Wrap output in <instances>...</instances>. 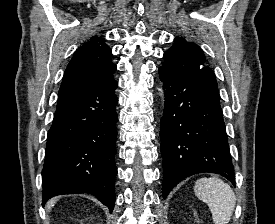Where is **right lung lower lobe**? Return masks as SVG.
Listing matches in <instances>:
<instances>
[{
  "label": "right lung lower lobe",
  "instance_id": "right-lung-lower-lobe-1",
  "mask_svg": "<svg viewBox=\"0 0 275 224\" xmlns=\"http://www.w3.org/2000/svg\"><path fill=\"white\" fill-rule=\"evenodd\" d=\"M117 86L113 79L58 98L42 170L43 204L56 195L90 193L113 211Z\"/></svg>",
  "mask_w": 275,
  "mask_h": 224
}]
</instances>
